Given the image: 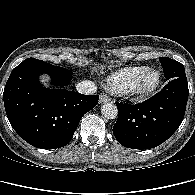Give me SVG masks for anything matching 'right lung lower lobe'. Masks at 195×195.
Masks as SVG:
<instances>
[{
	"label": "right lung lower lobe",
	"mask_w": 195,
	"mask_h": 195,
	"mask_svg": "<svg viewBox=\"0 0 195 195\" xmlns=\"http://www.w3.org/2000/svg\"><path fill=\"white\" fill-rule=\"evenodd\" d=\"M47 73L33 62L13 69L3 99L7 117L17 134L30 145L54 149L67 145L85 113L98 104V95H83L55 84L46 88L39 75Z\"/></svg>",
	"instance_id": "right-lung-lower-lobe-1"
}]
</instances>
